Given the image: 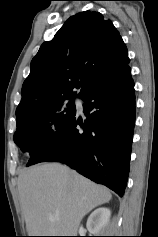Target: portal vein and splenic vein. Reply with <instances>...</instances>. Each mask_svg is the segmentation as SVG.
<instances>
[{
  "label": "portal vein and splenic vein",
  "instance_id": "1",
  "mask_svg": "<svg viewBox=\"0 0 158 237\" xmlns=\"http://www.w3.org/2000/svg\"><path fill=\"white\" fill-rule=\"evenodd\" d=\"M49 219H50L51 221H55V220H57V217L50 215V216H49Z\"/></svg>",
  "mask_w": 158,
  "mask_h": 237
}]
</instances>
